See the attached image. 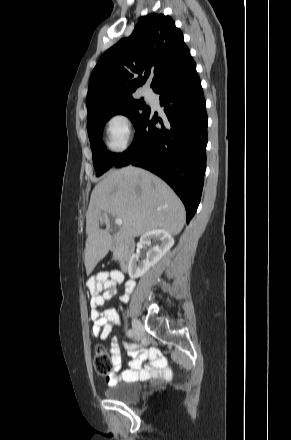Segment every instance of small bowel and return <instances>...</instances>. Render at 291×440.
Instances as JSON below:
<instances>
[{"label":"small bowel","instance_id":"small-bowel-1","mask_svg":"<svg viewBox=\"0 0 291 440\" xmlns=\"http://www.w3.org/2000/svg\"><path fill=\"white\" fill-rule=\"evenodd\" d=\"M123 281L122 274L117 271L102 273L87 281L86 285L91 294L90 318L93 321L92 334L96 338L105 340L111 331L120 325V320L114 310L105 309L101 311L99 307L114 296L116 286L123 283ZM134 287V281L129 280L125 282L124 292L120 297L121 301L127 302L129 300ZM125 346L132 355V359L127 363L126 367L122 364L121 350L117 338L114 337L111 340L109 357L111 370L106 376L108 385L115 386L122 381L130 382L139 377L163 378L170 376L166 360L155 356L156 349H153L150 354L145 350L132 354V346L127 342ZM148 356L150 357L149 362L142 368V363Z\"/></svg>","mask_w":291,"mask_h":440}]
</instances>
